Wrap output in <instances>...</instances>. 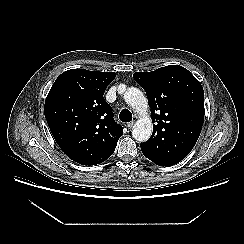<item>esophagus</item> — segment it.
Masks as SVG:
<instances>
[{
  "label": "esophagus",
  "instance_id": "34e87169",
  "mask_svg": "<svg viewBox=\"0 0 244 244\" xmlns=\"http://www.w3.org/2000/svg\"><path fill=\"white\" fill-rule=\"evenodd\" d=\"M134 125V121H130L126 124L128 128H131Z\"/></svg>",
  "mask_w": 244,
  "mask_h": 244
}]
</instances>
